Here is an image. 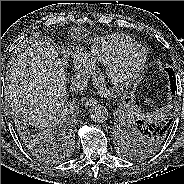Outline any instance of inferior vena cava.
Returning <instances> with one entry per match:
<instances>
[{
    "instance_id": "602c4592",
    "label": "inferior vena cava",
    "mask_w": 184,
    "mask_h": 184,
    "mask_svg": "<svg viewBox=\"0 0 184 184\" xmlns=\"http://www.w3.org/2000/svg\"><path fill=\"white\" fill-rule=\"evenodd\" d=\"M88 86L87 78L81 75H73L70 78V87L74 92H83Z\"/></svg>"
}]
</instances>
